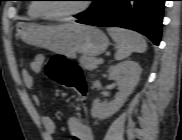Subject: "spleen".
<instances>
[{"instance_id": "obj_1", "label": "spleen", "mask_w": 182, "mask_h": 140, "mask_svg": "<svg viewBox=\"0 0 182 140\" xmlns=\"http://www.w3.org/2000/svg\"><path fill=\"white\" fill-rule=\"evenodd\" d=\"M107 31L118 47L115 54L118 61L126 59L133 52L143 53L147 49L145 39L134 31L116 27L108 28Z\"/></svg>"}]
</instances>
